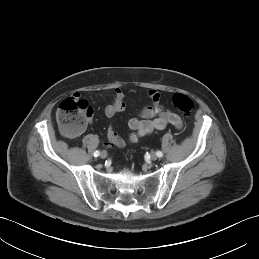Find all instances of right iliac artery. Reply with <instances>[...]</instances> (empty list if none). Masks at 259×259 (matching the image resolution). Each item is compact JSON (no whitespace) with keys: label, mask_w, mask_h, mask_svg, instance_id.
<instances>
[{"label":"right iliac artery","mask_w":259,"mask_h":259,"mask_svg":"<svg viewBox=\"0 0 259 259\" xmlns=\"http://www.w3.org/2000/svg\"><path fill=\"white\" fill-rule=\"evenodd\" d=\"M93 155L95 156V157H97V156H99L100 155V151H95L94 153H93Z\"/></svg>","instance_id":"right-iliac-artery-1"}]
</instances>
